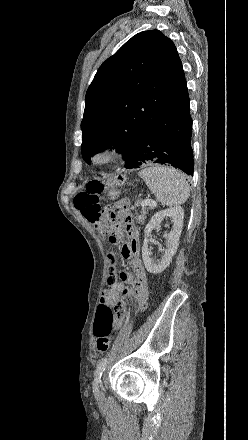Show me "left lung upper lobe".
<instances>
[{
    "mask_svg": "<svg viewBox=\"0 0 248 440\" xmlns=\"http://www.w3.org/2000/svg\"><path fill=\"white\" fill-rule=\"evenodd\" d=\"M187 90L181 60L159 30L133 36L98 69L85 98L82 155L112 147L128 156L147 126Z\"/></svg>",
    "mask_w": 248,
    "mask_h": 440,
    "instance_id": "left-lung-upper-lobe-1",
    "label": "left lung upper lobe"
}]
</instances>
